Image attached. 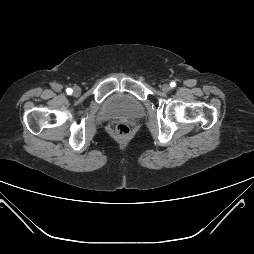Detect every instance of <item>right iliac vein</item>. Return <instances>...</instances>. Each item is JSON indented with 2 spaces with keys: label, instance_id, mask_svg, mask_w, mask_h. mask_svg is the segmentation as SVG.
Instances as JSON below:
<instances>
[{
  "label": "right iliac vein",
  "instance_id": "right-iliac-vein-1",
  "mask_svg": "<svg viewBox=\"0 0 254 254\" xmlns=\"http://www.w3.org/2000/svg\"><path fill=\"white\" fill-rule=\"evenodd\" d=\"M80 93H81V89L79 87H77V86L74 87V89H73L74 96H79Z\"/></svg>",
  "mask_w": 254,
  "mask_h": 254
}]
</instances>
